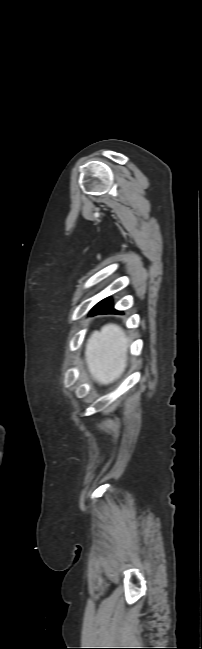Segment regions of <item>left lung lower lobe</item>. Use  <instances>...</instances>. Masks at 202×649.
<instances>
[{"label": "left lung lower lobe", "mask_w": 202, "mask_h": 649, "mask_svg": "<svg viewBox=\"0 0 202 649\" xmlns=\"http://www.w3.org/2000/svg\"><path fill=\"white\" fill-rule=\"evenodd\" d=\"M97 314H122L113 308L112 300L110 297L97 303L90 311L89 316Z\"/></svg>", "instance_id": "0a47b994"}]
</instances>
